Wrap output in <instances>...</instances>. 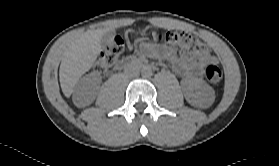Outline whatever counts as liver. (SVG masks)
<instances>
[{
  "label": "liver",
  "instance_id": "liver-1",
  "mask_svg": "<svg viewBox=\"0 0 279 166\" xmlns=\"http://www.w3.org/2000/svg\"><path fill=\"white\" fill-rule=\"evenodd\" d=\"M106 27L88 30L69 43L62 55L59 80L62 91L69 97L80 77L94 65L100 52L101 37L118 28L116 20L105 23Z\"/></svg>",
  "mask_w": 279,
  "mask_h": 166
}]
</instances>
